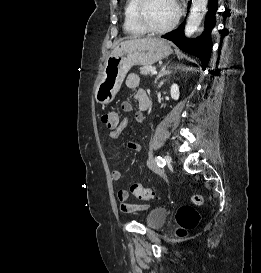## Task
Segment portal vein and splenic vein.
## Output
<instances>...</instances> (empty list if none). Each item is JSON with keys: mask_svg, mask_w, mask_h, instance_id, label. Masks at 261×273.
<instances>
[{"mask_svg": "<svg viewBox=\"0 0 261 273\" xmlns=\"http://www.w3.org/2000/svg\"><path fill=\"white\" fill-rule=\"evenodd\" d=\"M151 74H157V70H152Z\"/></svg>", "mask_w": 261, "mask_h": 273, "instance_id": "18ae733b", "label": "portal vein and splenic vein"}]
</instances>
